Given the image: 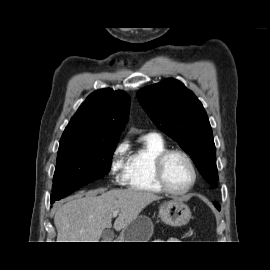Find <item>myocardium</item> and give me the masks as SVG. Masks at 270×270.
Returning a JSON list of instances; mask_svg holds the SVG:
<instances>
[{"mask_svg":"<svg viewBox=\"0 0 270 270\" xmlns=\"http://www.w3.org/2000/svg\"><path fill=\"white\" fill-rule=\"evenodd\" d=\"M173 154H179L183 156L186 161L188 162L191 171H192V180L191 183L184 189L182 190H177L173 189L170 187L166 181L165 174H164V165L166 160L168 159L169 156ZM153 171H154V177L157 182V184L162 188L163 191L173 194V195H183L188 193L193 189L197 182L198 178V172L197 168L195 165V162L193 161L192 157L184 150L179 149V148H173V149H166L162 151L154 160V165H153Z\"/></svg>","mask_w":270,"mask_h":270,"instance_id":"f54148a6","label":"myocardium"}]
</instances>
